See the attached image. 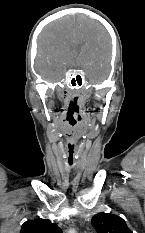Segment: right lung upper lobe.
I'll return each mask as SVG.
<instances>
[{"mask_svg": "<svg viewBox=\"0 0 145 233\" xmlns=\"http://www.w3.org/2000/svg\"><path fill=\"white\" fill-rule=\"evenodd\" d=\"M20 233H62V230L47 219H36L25 222Z\"/></svg>", "mask_w": 145, "mask_h": 233, "instance_id": "1", "label": "right lung upper lobe"}]
</instances>
